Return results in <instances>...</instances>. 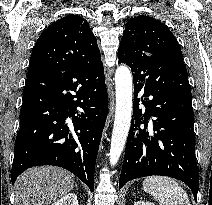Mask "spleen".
Here are the masks:
<instances>
[{"mask_svg":"<svg viewBox=\"0 0 212 205\" xmlns=\"http://www.w3.org/2000/svg\"><path fill=\"white\" fill-rule=\"evenodd\" d=\"M143 189L151 194L159 205H191L187 193L173 178L147 177L143 181Z\"/></svg>","mask_w":212,"mask_h":205,"instance_id":"3e777b00","label":"spleen"}]
</instances>
